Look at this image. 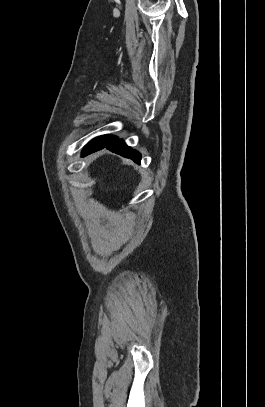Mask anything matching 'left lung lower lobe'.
<instances>
[{
    "mask_svg": "<svg viewBox=\"0 0 265 407\" xmlns=\"http://www.w3.org/2000/svg\"><path fill=\"white\" fill-rule=\"evenodd\" d=\"M103 148H107L114 153H117L126 158H131L135 162L140 163V159H141L140 153L138 151L128 147L123 140L118 139L117 137H114L113 139H111L110 141H108L106 143L93 146L85 152L82 151V155L85 156V155L91 154L93 152H96L98 150H101Z\"/></svg>",
    "mask_w": 265,
    "mask_h": 407,
    "instance_id": "1",
    "label": "left lung lower lobe"
}]
</instances>
